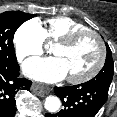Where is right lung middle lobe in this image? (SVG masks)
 I'll return each mask as SVG.
<instances>
[{
	"label": "right lung middle lobe",
	"instance_id": "right-lung-middle-lobe-1",
	"mask_svg": "<svg viewBox=\"0 0 117 117\" xmlns=\"http://www.w3.org/2000/svg\"><path fill=\"white\" fill-rule=\"evenodd\" d=\"M35 14L20 11H6L0 14V64H14L17 62L13 37L17 28Z\"/></svg>",
	"mask_w": 117,
	"mask_h": 117
}]
</instances>
